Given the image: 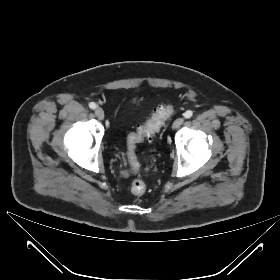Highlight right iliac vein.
Returning a JSON list of instances; mask_svg holds the SVG:
<instances>
[{"instance_id":"right-iliac-vein-1","label":"right iliac vein","mask_w":280,"mask_h":280,"mask_svg":"<svg viewBox=\"0 0 280 280\" xmlns=\"http://www.w3.org/2000/svg\"><path fill=\"white\" fill-rule=\"evenodd\" d=\"M95 115L97 116V118H99L100 120L104 119V111L101 107H97L95 109Z\"/></svg>"}]
</instances>
